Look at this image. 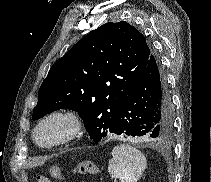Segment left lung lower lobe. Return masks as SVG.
Wrapping results in <instances>:
<instances>
[{"label":"left lung lower lobe","mask_w":211,"mask_h":182,"mask_svg":"<svg viewBox=\"0 0 211 182\" xmlns=\"http://www.w3.org/2000/svg\"><path fill=\"white\" fill-rule=\"evenodd\" d=\"M172 123L173 109L166 78L151 53L139 82L115 116L112 133L152 140L166 136Z\"/></svg>","instance_id":"obj_1"}]
</instances>
